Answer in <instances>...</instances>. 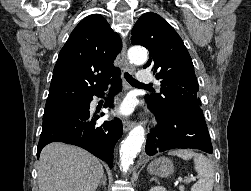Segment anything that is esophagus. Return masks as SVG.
Here are the masks:
<instances>
[{
  "label": "esophagus",
  "mask_w": 251,
  "mask_h": 191,
  "mask_svg": "<svg viewBox=\"0 0 251 191\" xmlns=\"http://www.w3.org/2000/svg\"><path fill=\"white\" fill-rule=\"evenodd\" d=\"M126 51H127V46H126V42H123V47H122V51H121V57H122V61L123 64L126 68L127 71L129 72H133L135 70L134 66L128 61L127 56H126ZM135 125L134 121H129L126 120L123 122V130L124 132H128L130 131L133 126Z\"/></svg>",
  "instance_id": "1"
}]
</instances>
